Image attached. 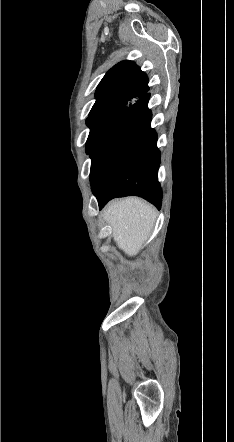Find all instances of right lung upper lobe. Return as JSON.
I'll return each mask as SVG.
<instances>
[{
    "instance_id": "1",
    "label": "right lung upper lobe",
    "mask_w": 234,
    "mask_h": 442,
    "mask_svg": "<svg viewBox=\"0 0 234 442\" xmlns=\"http://www.w3.org/2000/svg\"><path fill=\"white\" fill-rule=\"evenodd\" d=\"M148 77L132 61H123L111 68L97 86L89 117L118 114L147 94Z\"/></svg>"
}]
</instances>
